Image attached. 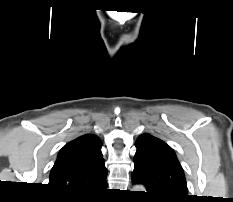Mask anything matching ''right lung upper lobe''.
Masks as SVG:
<instances>
[{
	"label": "right lung upper lobe",
	"instance_id": "1",
	"mask_svg": "<svg viewBox=\"0 0 233 202\" xmlns=\"http://www.w3.org/2000/svg\"><path fill=\"white\" fill-rule=\"evenodd\" d=\"M96 135L85 134L67 143L51 170L49 187L59 194L88 197L106 189L107 169Z\"/></svg>",
	"mask_w": 233,
	"mask_h": 202
}]
</instances>
